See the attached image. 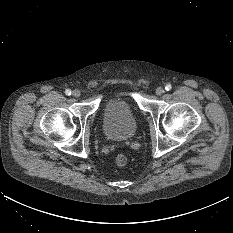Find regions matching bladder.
I'll use <instances>...</instances> for the list:
<instances>
[{"label": "bladder", "instance_id": "bladder-1", "mask_svg": "<svg viewBox=\"0 0 233 233\" xmlns=\"http://www.w3.org/2000/svg\"><path fill=\"white\" fill-rule=\"evenodd\" d=\"M102 129L106 137L114 141H126L134 136L137 121L126 97L116 96L107 99Z\"/></svg>", "mask_w": 233, "mask_h": 233}]
</instances>
